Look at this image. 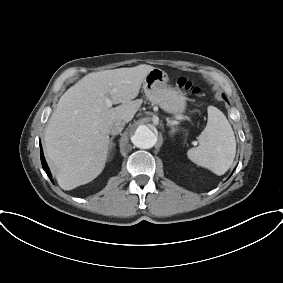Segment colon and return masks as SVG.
<instances>
[{
  "mask_svg": "<svg viewBox=\"0 0 283 283\" xmlns=\"http://www.w3.org/2000/svg\"><path fill=\"white\" fill-rule=\"evenodd\" d=\"M177 84L180 88L187 90L194 95H198L200 93V88L197 86L195 81L189 77H180Z\"/></svg>",
  "mask_w": 283,
  "mask_h": 283,
  "instance_id": "1",
  "label": "colon"
}]
</instances>
